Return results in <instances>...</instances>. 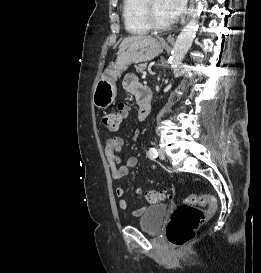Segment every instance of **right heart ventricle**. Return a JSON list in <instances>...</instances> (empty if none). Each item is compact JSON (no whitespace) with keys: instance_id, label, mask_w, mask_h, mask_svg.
Returning a JSON list of instances; mask_svg holds the SVG:
<instances>
[{"instance_id":"e07e8e85","label":"right heart ventricle","mask_w":261,"mask_h":273,"mask_svg":"<svg viewBox=\"0 0 261 273\" xmlns=\"http://www.w3.org/2000/svg\"><path fill=\"white\" fill-rule=\"evenodd\" d=\"M143 4L144 0H123V22L130 34L142 35L150 31L143 17Z\"/></svg>"}]
</instances>
